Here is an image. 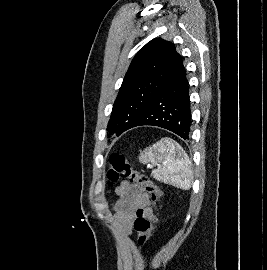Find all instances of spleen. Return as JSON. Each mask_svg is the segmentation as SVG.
Here are the masks:
<instances>
[{
    "label": "spleen",
    "mask_w": 267,
    "mask_h": 270,
    "mask_svg": "<svg viewBox=\"0 0 267 270\" xmlns=\"http://www.w3.org/2000/svg\"><path fill=\"white\" fill-rule=\"evenodd\" d=\"M139 161L157 166L151 173L156 180L184 190L191 188L193 180L191 161L175 140L169 137L162 138L141 152Z\"/></svg>",
    "instance_id": "1"
}]
</instances>
